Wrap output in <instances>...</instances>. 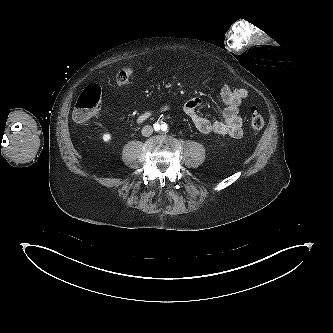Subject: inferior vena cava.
Instances as JSON below:
<instances>
[{"label": "inferior vena cava", "mask_w": 333, "mask_h": 333, "mask_svg": "<svg viewBox=\"0 0 333 333\" xmlns=\"http://www.w3.org/2000/svg\"><path fill=\"white\" fill-rule=\"evenodd\" d=\"M141 133L145 137H149L153 133V128L150 125H146L142 128Z\"/></svg>", "instance_id": "602c4592"}]
</instances>
